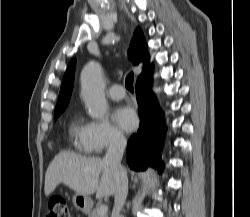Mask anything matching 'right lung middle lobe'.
<instances>
[{
  "mask_svg": "<svg viewBox=\"0 0 250 217\" xmlns=\"http://www.w3.org/2000/svg\"><path fill=\"white\" fill-rule=\"evenodd\" d=\"M63 111H56L55 112V119L57 118V116L60 114V113H62Z\"/></svg>",
  "mask_w": 250,
  "mask_h": 217,
  "instance_id": "dd1d6c3e",
  "label": "right lung middle lobe"
}]
</instances>
